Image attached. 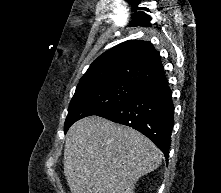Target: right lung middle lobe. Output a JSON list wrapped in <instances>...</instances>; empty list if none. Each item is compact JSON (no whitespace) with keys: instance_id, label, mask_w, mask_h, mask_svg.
I'll list each match as a JSON object with an SVG mask.
<instances>
[{"instance_id":"obj_1","label":"right lung middle lobe","mask_w":221,"mask_h":193,"mask_svg":"<svg viewBox=\"0 0 221 193\" xmlns=\"http://www.w3.org/2000/svg\"><path fill=\"white\" fill-rule=\"evenodd\" d=\"M142 85L126 82L106 84L76 90L70 101L64 132L79 119L98 115L133 98Z\"/></svg>"}]
</instances>
